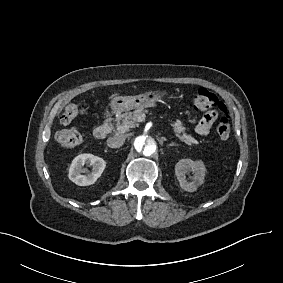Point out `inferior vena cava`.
<instances>
[{
	"label": "inferior vena cava",
	"instance_id": "inferior-vena-cava-1",
	"mask_svg": "<svg viewBox=\"0 0 283 283\" xmlns=\"http://www.w3.org/2000/svg\"><path fill=\"white\" fill-rule=\"evenodd\" d=\"M107 143L111 148H119L124 144V139L121 136L110 137L107 139Z\"/></svg>",
	"mask_w": 283,
	"mask_h": 283
}]
</instances>
